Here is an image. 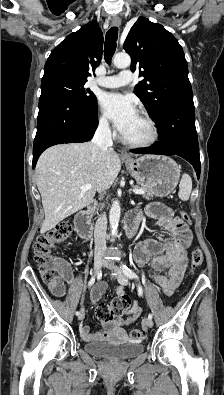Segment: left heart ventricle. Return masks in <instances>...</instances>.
Instances as JSON below:
<instances>
[{
    "mask_svg": "<svg viewBox=\"0 0 224 395\" xmlns=\"http://www.w3.org/2000/svg\"><path fill=\"white\" fill-rule=\"evenodd\" d=\"M122 134L131 140H143L149 136V128L147 123L137 115Z\"/></svg>",
    "mask_w": 224,
    "mask_h": 395,
    "instance_id": "left-heart-ventricle-1",
    "label": "left heart ventricle"
}]
</instances>
